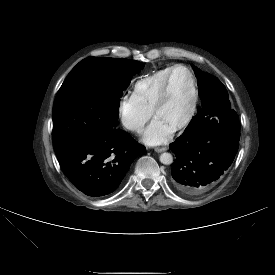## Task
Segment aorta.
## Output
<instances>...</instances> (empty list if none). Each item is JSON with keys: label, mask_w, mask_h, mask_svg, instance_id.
<instances>
[{"label": "aorta", "mask_w": 275, "mask_h": 275, "mask_svg": "<svg viewBox=\"0 0 275 275\" xmlns=\"http://www.w3.org/2000/svg\"><path fill=\"white\" fill-rule=\"evenodd\" d=\"M160 162L164 165H170L173 162V156L170 153H162L160 155Z\"/></svg>", "instance_id": "aorta-1"}]
</instances>
